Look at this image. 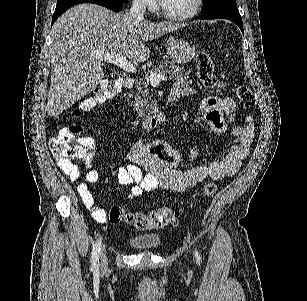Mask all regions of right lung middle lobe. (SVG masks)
<instances>
[{
    "mask_svg": "<svg viewBox=\"0 0 307 301\" xmlns=\"http://www.w3.org/2000/svg\"><path fill=\"white\" fill-rule=\"evenodd\" d=\"M66 1H68V0H58V1H57V4L63 3V2H66ZM122 1L126 2L127 0H122Z\"/></svg>",
    "mask_w": 307,
    "mask_h": 301,
    "instance_id": "dd1d6c3e",
    "label": "right lung middle lobe"
}]
</instances>
